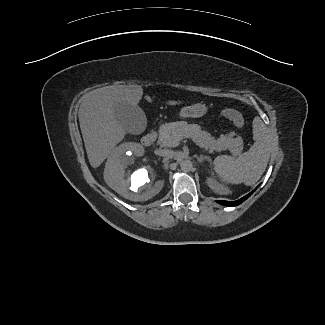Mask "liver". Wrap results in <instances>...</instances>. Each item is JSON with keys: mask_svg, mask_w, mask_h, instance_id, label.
<instances>
[{"mask_svg": "<svg viewBox=\"0 0 325 325\" xmlns=\"http://www.w3.org/2000/svg\"><path fill=\"white\" fill-rule=\"evenodd\" d=\"M142 96L143 89L139 85L105 86L85 95L78 117L89 163L93 168L99 167L126 135L115 117L114 106L119 103L137 106ZM182 103L173 100L167 102L169 105ZM132 146L143 152L141 145Z\"/></svg>", "mask_w": 325, "mask_h": 325, "instance_id": "liver-1", "label": "liver"}]
</instances>
